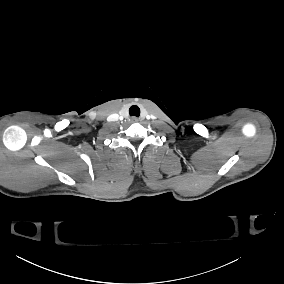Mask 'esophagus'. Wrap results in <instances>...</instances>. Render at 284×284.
Wrapping results in <instances>:
<instances>
[{"label":"esophagus","instance_id":"obj_1","mask_svg":"<svg viewBox=\"0 0 284 284\" xmlns=\"http://www.w3.org/2000/svg\"><path fill=\"white\" fill-rule=\"evenodd\" d=\"M131 121L134 122V123L138 122V118L137 117H131Z\"/></svg>","mask_w":284,"mask_h":284}]
</instances>
